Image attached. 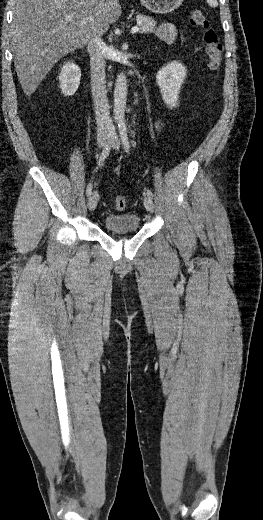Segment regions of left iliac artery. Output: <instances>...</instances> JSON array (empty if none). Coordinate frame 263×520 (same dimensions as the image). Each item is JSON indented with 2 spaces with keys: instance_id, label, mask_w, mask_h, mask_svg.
<instances>
[{
  "instance_id": "left-iliac-artery-1",
  "label": "left iliac artery",
  "mask_w": 263,
  "mask_h": 520,
  "mask_svg": "<svg viewBox=\"0 0 263 520\" xmlns=\"http://www.w3.org/2000/svg\"><path fill=\"white\" fill-rule=\"evenodd\" d=\"M118 127H119L120 137H121L122 143L124 145V148H125L126 152L129 153L130 145H129V141H128L126 123L123 119L119 120ZM147 195L150 198H152L153 197L152 191L148 189Z\"/></svg>"
}]
</instances>
